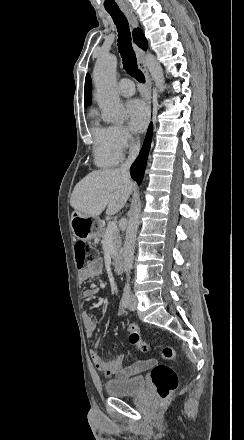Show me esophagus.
<instances>
[{
  "mask_svg": "<svg viewBox=\"0 0 244 440\" xmlns=\"http://www.w3.org/2000/svg\"><path fill=\"white\" fill-rule=\"evenodd\" d=\"M122 11L124 12V14L126 15L127 19L129 20L130 25L133 28L138 27V21L136 16L134 15V13L132 12V10L129 7H122ZM135 53H136V57H137V64L138 67L142 70V72L144 73L145 79H146V96L149 100H151V94H152V80L150 78L149 72L147 70L146 67V56L145 53L143 52V50H141L140 48H138L137 46L134 47Z\"/></svg>",
  "mask_w": 244,
  "mask_h": 440,
  "instance_id": "obj_1",
  "label": "esophagus"
}]
</instances>
